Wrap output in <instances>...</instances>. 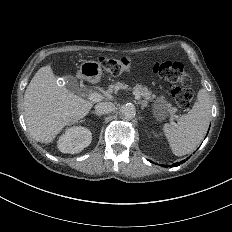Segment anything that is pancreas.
I'll use <instances>...</instances> for the list:
<instances>
[{"label":"pancreas","instance_id":"pancreas-1","mask_svg":"<svg viewBox=\"0 0 232 232\" xmlns=\"http://www.w3.org/2000/svg\"><path fill=\"white\" fill-rule=\"evenodd\" d=\"M128 85L117 82L115 84H111L108 87L107 92L108 93H113V92H117L119 89H127ZM133 92L135 94H139L140 96H142L144 98L143 101H150L152 99H154L156 96L152 94L151 91L148 90L147 87H144L142 85L137 84L134 88H133ZM168 112L170 114H174L175 112H177V108L176 107H170L168 109Z\"/></svg>","mask_w":232,"mask_h":232}]
</instances>
